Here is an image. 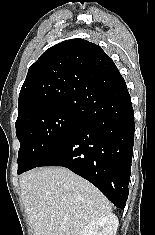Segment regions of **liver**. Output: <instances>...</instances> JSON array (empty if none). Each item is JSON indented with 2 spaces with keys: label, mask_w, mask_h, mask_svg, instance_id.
<instances>
[{
  "label": "liver",
  "mask_w": 155,
  "mask_h": 235,
  "mask_svg": "<svg viewBox=\"0 0 155 235\" xmlns=\"http://www.w3.org/2000/svg\"><path fill=\"white\" fill-rule=\"evenodd\" d=\"M19 185L34 235H79L90 222L112 212L95 186L67 168L28 171Z\"/></svg>",
  "instance_id": "liver-1"
}]
</instances>
